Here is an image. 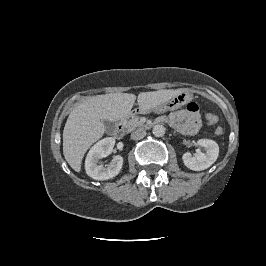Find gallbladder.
Listing matches in <instances>:
<instances>
[{"instance_id": "obj_1", "label": "gallbladder", "mask_w": 266, "mask_h": 266, "mask_svg": "<svg viewBox=\"0 0 266 266\" xmlns=\"http://www.w3.org/2000/svg\"><path fill=\"white\" fill-rule=\"evenodd\" d=\"M104 125H105V127H106V129H107L108 131H112V130L115 129V123H114V122H111V121H109V120H105V121H104Z\"/></svg>"}]
</instances>
